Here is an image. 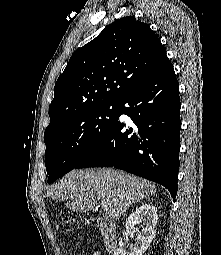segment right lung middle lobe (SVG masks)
<instances>
[{
	"label": "right lung middle lobe",
	"instance_id": "right-lung-middle-lobe-1",
	"mask_svg": "<svg viewBox=\"0 0 221 255\" xmlns=\"http://www.w3.org/2000/svg\"><path fill=\"white\" fill-rule=\"evenodd\" d=\"M119 109V103L86 107L45 131L48 183L74 169L88 155L114 124Z\"/></svg>",
	"mask_w": 221,
	"mask_h": 255
}]
</instances>
